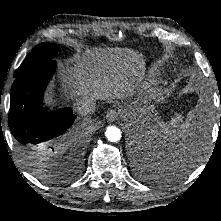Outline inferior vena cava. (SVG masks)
I'll use <instances>...</instances> for the list:
<instances>
[{"mask_svg": "<svg viewBox=\"0 0 221 221\" xmlns=\"http://www.w3.org/2000/svg\"><path fill=\"white\" fill-rule=\"evenodd\" d=\"M96 100L89 96H83L76 100L75 107L82 115H88L95 111Z\"/></svg>", "mask_w": 221, "mask_h": 221, "instance_id": "602c4592", "label": "inferior vena cava"}]
</instances>
